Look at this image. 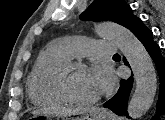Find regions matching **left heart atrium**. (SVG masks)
Wrapping results in <instances>:
<instances>
[{"instance_id":"left-heart-atrium-1","label":"left heart atrium","mask_w":165,"mask_h":120,"mask_svg":"<svg viewBox=\"0 0 165 120\" xmlns=\"http://www.w3.org/2000/svg\"><path fill=\"white\" fill-rule=\"evenodd\" d=\"M89 72L100 94L112 89L114 79L107 66L96 64L89 70Z\"/></svg>"}]
</instances>
